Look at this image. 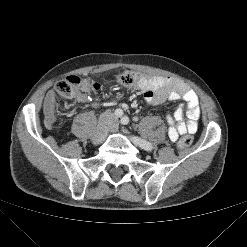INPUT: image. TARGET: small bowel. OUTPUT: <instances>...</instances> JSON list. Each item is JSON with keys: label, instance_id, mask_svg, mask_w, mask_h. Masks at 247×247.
<instances>
[{"label": "small bowel", "instance_id": "obj_1", "mask_svg": "<svg viewBox=\"0 0 247 247\" xmlns=\"http://www.w3.org/2000/svg\"><path fill=\"white\" fill-rule=\"evenodd\" d=\"M144 98L149 105H160L166 100H184V105L174 113L168 114V136L175 142L180 135L195 133L200 117L199 100L196 93L182 81L171 77H155L138 84ZM84 100V99H81ZM56 94L51 91L45 101V125L50 128L55 123Z\"/></svg>", "mask_w": 247, "mask_h": 247}]
</instances>
